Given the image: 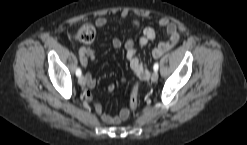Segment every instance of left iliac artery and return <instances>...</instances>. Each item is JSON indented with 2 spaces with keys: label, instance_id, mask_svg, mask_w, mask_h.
Masks as SVG:
<instances>
[{
  "label": "left iliac artery",
  "instance_id": "left-iliac-artery-1",
  "mask_svg": "<svg viewBox=\"0 0 247 145\" xmlns=\"http://www.w3.org/2000/svg\"><path fill=\"white\" fill-rule=\"evenodd\" d=\"M158 68H159L158 63H155V64H154V66H153L154 71H157V70H158Z\"/></svg>",
  "mask_w": 247,
  "mask_h": 145
}]
</instances>
